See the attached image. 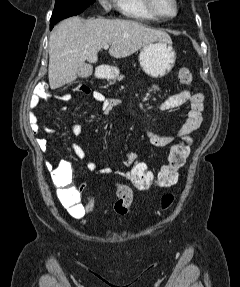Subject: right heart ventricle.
Returning a JSON list of instances; mask_svg holds the SVG:
<instances>
[{"mask_svg":"<svg viewBox=\"0 0 240 287\" xmlns=\"http://www.w3.org/2000/svg\"><path fill=\"white\" fill-rule=\"evenodd\" d=\"M114 4L119 14L125 18L157 21L147 10L144 0H114Z\"/></svg>","mask_w":240,"mask_h":287,"instance_id":"right-heart-ventricle-1","label":"right heart ventricle"}]
</instances>
